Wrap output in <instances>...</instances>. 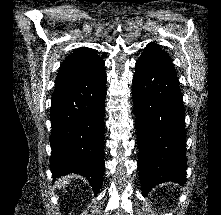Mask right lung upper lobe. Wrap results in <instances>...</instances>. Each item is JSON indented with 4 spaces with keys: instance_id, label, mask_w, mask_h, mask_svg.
I'll use <instances>...</instances> for the list:
<instances>
[{
    "instance_id": "right-lung-upper-lobe-1",
    "label": "right lung upper lobe",
    "mask_w": 221,
    "mask_h": 215,
    "mask_svg": "<svg viewBox=\"0 0 221 215\" xmlns=\"http://www.w3.org/2000/svg\"><path fill=\"white\" fill-rule=\"evenodd\" d=\"M103 69L104 61L93 49L78 48L60 66L55 91L84 81Z\"/></svg>"
}]
</instances>
